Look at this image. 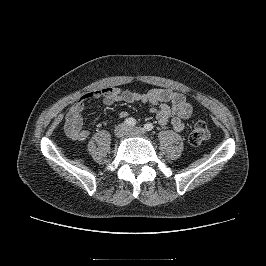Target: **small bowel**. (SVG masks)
<instances>
[{"label":"small bowel","instance_id":"1","mask_svg":"<svg viewBox=\"0 0 266 266\" xmlns=\"http://www.w3.org/2000/svg\"><path fill=\"white\" fill-rule=\"evenodd\" d=\"M101 99L105 105L117 102H142L149 106V111L155 115L161 125L171 124L173 129L181 132L185 127V120L192 115V106L186 97L179 92L166 88L151 89L144 94L122 90L116 87H106L93 90L82 95L69 108L65 115V132L73 140L84 141L90 135V130L84 127L82 113L86 102ZM121 118L126 116L120 111Z\"/></svg>","mask_w":266,"mask_h":266}]
</instances>
